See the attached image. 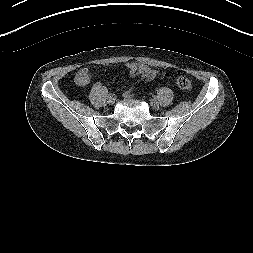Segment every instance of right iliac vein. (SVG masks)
Segmentation results:
<instances>
[{
	"label": "right iliac vein",
	"instance_id": "1",
	"mask_svg": "<svg viewBox=\"0 0 253 253\" xmlns=\"http://www.w3.org/2000/svg\"><path fill=\"white\" fill-rule=\"evenodd\" d=\"M115 100H116V99H115L113 96H112V97H109L108 103L112 105V104L115 103Z\"/></svg>",
	"mask_w": 253,
	"mask_h": 253
}]
</instances>
